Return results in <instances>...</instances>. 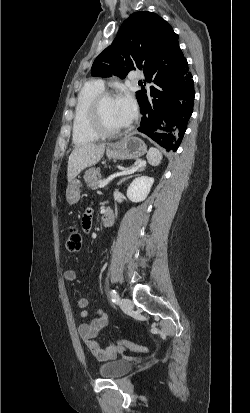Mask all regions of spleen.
I'll list each match as a JSON object with an SVG mask.
<instances>
[{
  "instance_id": "3e777b00",
  "label": "spleen",
  "mask_w": 250,
  "mask_h": 413,
  "mask_svg": "<svg viewBox=\"0 0 250 413\" xmlns=\"http://www.w3.org/2000/svg\"><path fill=\"white\" fill-rule=\"evenodd\" d=\"M147 160L152 166H158L162 160V154L158 149L152 147L147 153Z\"/></svg>"
}]
</instances>
